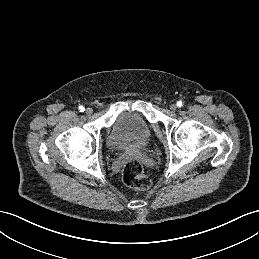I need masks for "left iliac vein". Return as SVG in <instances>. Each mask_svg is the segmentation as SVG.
<instances>
[{
	"mask_svg": "<svg viewBox=\"0 0 259 259\" xmlns=\"http://www.w3.org/2000/svg\"><path fill=\"white\" fill-rule=\"evenodd\" d=\"M176 109H177V105L176 104H171L170 105V110L176 111Z\"/></svg>",
	"mask_w": 259,
	"mask_h": 259,
	"instance_id": "left-iliac-vein-1",
	"label": "left iliac vein"
}]
</instances>
